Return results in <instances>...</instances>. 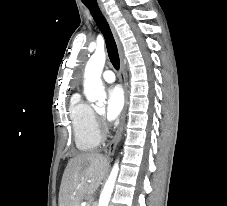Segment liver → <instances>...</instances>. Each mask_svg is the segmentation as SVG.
Masks as SVG:
<instances>
[{
	"mask_svg": "<svg viewBox=\"0 0 227 206\" xmlns=\"http://www.w3.org/2000/svg\"><path fill=\"white\" fill-rule=\"evenodd\" d=\"M108 165L100 153H81L70 159L61 181L59 206H80L82 199L99 187Z\"/></svg>",
	"mask_w": 227,
	"mask_h": 206,
	"instance_id": "liver-1",
	"label": "liver"
}]
</instances>
